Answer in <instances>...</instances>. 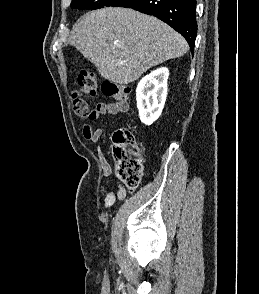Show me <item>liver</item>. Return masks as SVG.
I'll list each match as a JSON object with an SVG mask.
<instances>
[{
    "label": "liver",
    "instance_id": "1",
    "mask_svg": "<svg viewBox=\"0 0 259 294\" xmlns=\"http://www.w3.org/2000/svg\"><path fill=\"white\" fill-rule=\"evenodd\" d=\"M69 43L103 78L119 85L129 84L149 68L188 51L186 40L166 23L121 7L83 15L72 28Z\"/></svg>",
    "mask_w": 259,
    "mask_h": 294
}]
</instances>
